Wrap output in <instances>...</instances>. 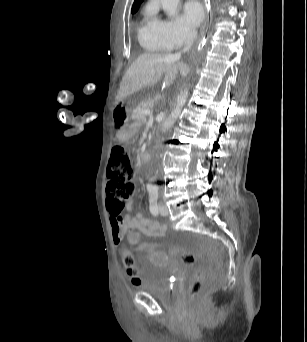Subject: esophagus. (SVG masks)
Returning <instances> with one entry per match:
<instances>
[{
    "mask_svg": "<svg viewBox=\"0 0 307 342\" xmlns=\"http://www.w3.org/2000/svg\"><path fill=\"white\" fill-rule=\"evenodd\" d=\"M204 11H205V13H206V17H205V19H204V21H203V24H202L203 27H205L206 24H207V7H206V0H204Z\"/></svg>",
    "mask_w": 307,
    "mask_h": 342,
    "instance_id": "34e87169",
    "label": "esophagus"
}]
</instances>
